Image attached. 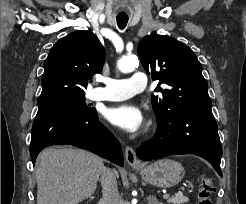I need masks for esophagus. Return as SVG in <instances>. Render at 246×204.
<instances>
[{"instance_id":"34e87169","label":"esophagus","mask_w":246,"mask_h":204,"mask_svg":"<svg viewBox=\"0 0 246 204\" xmlns=\"http://www.w3.org/2000/svg\"><path fill=\"white\" fill-rule=\"evenodd\" d=\"M125 158L127 163L134 168H138L141 166L140 161L137 159L135 151L133 150V148L127 146L125 148Z\"/></svg>"}]
</instances>
